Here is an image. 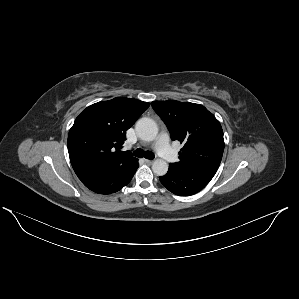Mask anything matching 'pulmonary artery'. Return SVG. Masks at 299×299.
<instances>
[{
    "label": "pulmonary artery",
    "mask_w": 299,
    "mask_h": 299,
    "mask_svg": "<svg viewBox=\"0 0 299 299\" xmlns=\"http://www.w3.org/2000/svg\"><path fill=\"white\" fill-rule=\"evenodd\" d=\"M155 150L157 153L166 160L174 158L172 149L169 146V137L166 133H162L157 142L155 143Z\"/></svg>",
    "instance_id": "obj_1"
}]
</instances>
